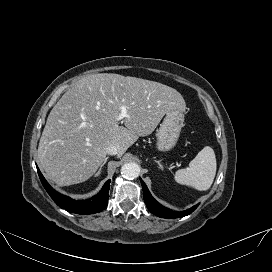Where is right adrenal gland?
Segmentation results:
<instances>
[{"instance_id":"right-adrenal-gland-1","label":"right adrenal gland","mask_w":272,"mask_h":272,"mask_svg":"<svg viewBox=\"0 0 272 272\" xmlns=\"http://www.w3.org/2000/svg\"><path fill=\"white\" fill-rule=\"evenodd\" d=\"M107 160H108V157H106V158L104 159V162L101 164V166H100V168L98 169V171H97V173L95 174V176H99V175L101 174L102 168H103V166L106 164Z\"/></svg>"}]
</instances>
